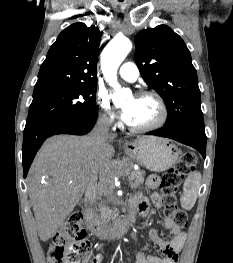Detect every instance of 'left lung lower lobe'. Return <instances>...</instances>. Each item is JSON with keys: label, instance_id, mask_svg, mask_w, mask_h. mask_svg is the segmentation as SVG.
Listing matches in <instances>:
<instances>
[{"label": "left lung lower lobe", "instance_id": "1", "mask_svg": "<svg viewBox=\"0 0 233 263\" xmlns=\"http://www.w3.org/2000/svg\"><path fill=\"white\" fill-rule=\"evenodd\" d=\"M148 135H156L174 139L183 144L189 145L197 149L202 156H206V135L205 131H201L192 127H163L155 131L147 133Z\"/></svg>", "mask_w": 233, "mask_h": 263}]
</instances>
